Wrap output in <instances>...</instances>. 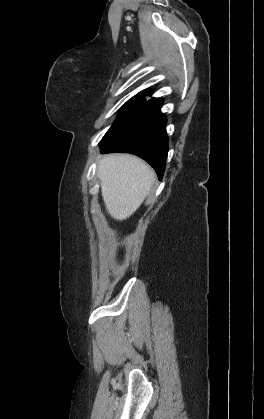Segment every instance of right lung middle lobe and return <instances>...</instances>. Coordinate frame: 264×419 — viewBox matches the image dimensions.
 <instances>
[{"mask_svg":"<svg viewBox=\"0 0 264 419\" xmlns=\"http://www.w3.org/2000/svg\"><path fill=\"white\" fill-rule=\"evenodd\" d=\"M147 103L143 95H136L128 100L119 110L120 113L113 123L111 128L107 131L101 140V145H105L123 133L139 116Z\"/></svg>","mask_w":264,"mask_h":419,"instance_id":"right-lung-middle-lobe-1","label":"right lung middle lobe"}]
</instances>
